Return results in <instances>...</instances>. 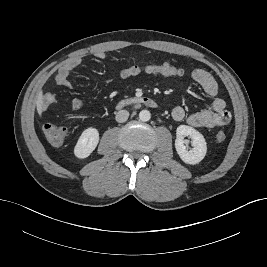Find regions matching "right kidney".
Listing matches in <instances>:
<instances>
[{"label": "right kidney", "instance_id": "obj_1", "mask_svg": "<svg viewBox=\"0 0 267 267\" xmlns=\"http://www.w3.org/2000/svg\"><path fill=\"white\" fill-rule=\"evenodd\" d=\"M99 142V132L96 128L89 127L80 135L74 148V154L79 159L87 158Z\"/></svg>", "mask_w": 267, "mask_h": 267}]
</instances>
